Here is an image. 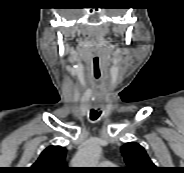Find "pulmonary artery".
Listing matches in <instances>:
<instances>
[{"label": "pulmonary artery", "mask_w": 184, "mask_h": 173, "mask_svg": "<svg viewBox=\"0 0 184 173\" xmlns=\"http://www.w3.org/2000/svg\"><path fill=\"white\" fill-rule=\"evenodd\" d=\"M104 164L105 165H111V162H105Z\"/></svg>", "instance_id": "obj_1"}]
</instances>
